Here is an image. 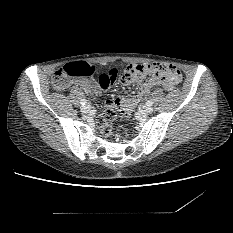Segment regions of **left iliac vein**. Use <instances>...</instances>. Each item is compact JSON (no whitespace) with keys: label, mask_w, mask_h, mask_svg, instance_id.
I'll return each instance as SVG.
<instances>
[{"label":"left iliac vein","mask_w":233,"mask_h":233,"mask_svg":"<svg viewBox=\"0 0 233 233\" xmlns=\"http://www.w3.org/2000/svg\"><path fill=\"white\" fill-rule=\"evenodd\" d=\"M142 110L146 113V114H150L153 112V107L148 106V105H143L142 106Z\"/></svg>","instance_id":"left-iliac-vein-1"}]
</instances>
